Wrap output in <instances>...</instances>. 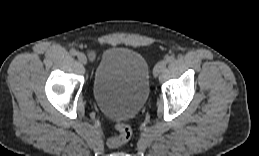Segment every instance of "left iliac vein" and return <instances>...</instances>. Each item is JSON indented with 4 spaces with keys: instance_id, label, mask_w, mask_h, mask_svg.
I'll use <instances>...</instances> for the list:
<instances>
[{
    "instance_id": "obj_1",
    "label": "left iliac vein",
    "mask_w": 259,
    "mask_h": 156,
    "mask_svg": "<svg viewBox=\"0 0 259 156\" xmlns=\"http://www.w3.org/2000/svg\"><path fill=\"white\" fill-rule=\"evenodd\" d=\"M167 62L165 60L159 61L153 70L154 77H157L166 67Z\"/></svg>"
}]
</instances>
